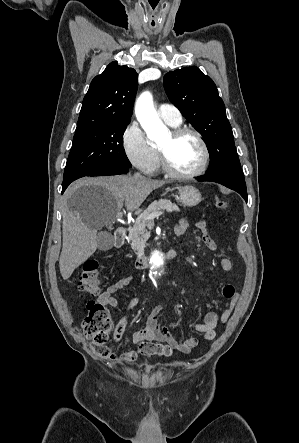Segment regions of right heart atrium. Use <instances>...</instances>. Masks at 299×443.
I'll list each match as a JSON object with an SVG mask.
<instances>
[{"mask_svg":"<svg viewBox=\"0 0 299 443\" xmlns=\"http://www.w3.org/2000/svg\"><path fill=\"white\" fill-rule=\"evenodd\" d=\"M121 144L125 156L132 165L144 173H150L154 170L156 164L155 151L136 121L130 122L124 129Z\"/></svg>","mask_w":299,"mask_h":443,"instance_id":"right-heart-atrium-1","label":"right heart atrium"}]
</instances>
